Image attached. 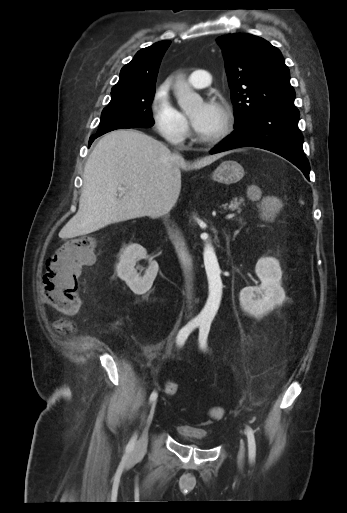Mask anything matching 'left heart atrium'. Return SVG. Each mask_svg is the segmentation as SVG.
<instances>
[{
	"label": "left heart atrium",
	"instance_id": "obj_1",
	"mask_svg": "<svg viewBox=\"0 0 347 513\" xmlns=\"http://www.w3.org/2000/svg\"><path fill=\"white\" fill-rule=\"evenodd\" d=\"M215 115V105L205 104L202 111L192 119L193 127L197 132L205 129L213 120Z\"/></svg>",
	"mask_w": 347,
	"mask_h": 513
}]
</instances>
